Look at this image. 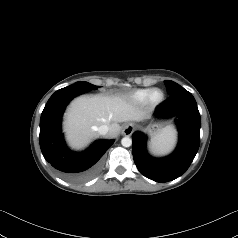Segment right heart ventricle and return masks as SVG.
I'll list each match as a JSON object with an SVG mask.
<instances>
[{
    "mask_svg": "<svg viewBox=\"0 0 238 238\" xmlns=\"http://www.w3.org/2000/svg\"><path fill=\"white\" fill-rule=\"evenodd\" d=\"M151 90L152 89L150 88L136 90L130 95V99L135 103L143 104L146 102L147 97L149 93L151 92Z\"/></svg>",
    "mask_w": 238,
    "mask_h": 238,
    "instance_id": "right-heart-ventricle-1",
    "label": "right heart ventricle"
}]
</instances>
